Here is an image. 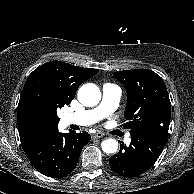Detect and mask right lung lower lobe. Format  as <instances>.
I'll return each instance as SVG.
<instances>
[{"label":"right lung lower lobe","instance_id":"98d812e1","mask_svg":"<svg viewBox=\"0 0 194 194\" xmlns=\"http://www.w3.org/2000/svg\"><path fill=\"white\" fill-rule=\"evenodd\" d=\"M89 142L90 135L87 132L62 134L56 129L33 138L22 147L40 173L58 178L73 171L82 148Z\"/></svg>","mask_w":194,"mask_h":194}]
</instances>
